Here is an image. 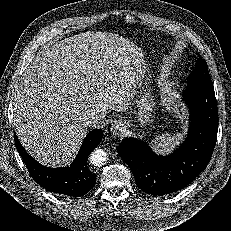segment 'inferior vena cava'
Returning <instances> with one entry per match:
<instances>
[{
	"instance_id": "602c4592",
	"label": "inferior vena cava",
	"mask_w": 231,
	"mask_h": 231,
	"mask_svg": "<svg viewBox=\"0 0 231 231\" xmlns=\"http://www.w3.org/2000/svg\"><path fill=\"white\" fill-rule=\"evenodd\" d=\"M84 122L87 126H96L100 123L99 117L94 113H89L83 117Z\"/></svg>"
}]
</instances>
